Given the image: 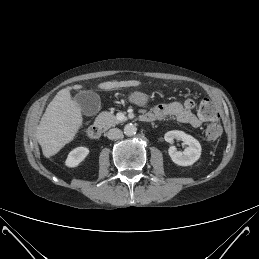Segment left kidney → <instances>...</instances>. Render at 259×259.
Masks as SVG:
<instances>
[{"label": "left kidney", "mask_w": 259, "mask_h": 259, "mask_svg": "<svg viewBox=\"0 0 259 259\" xmlns=\"http://www.w3.org/2000/svg\"><path fill=\"white\" fill-rule=\"evenodd\" d=\"M164 139L166 142L173 144L174 139L183 141L188 145L183 152L177 151L175 146H171L168 150L171 160L180 166H190L194 164L201 156V145L197 139L183 131H168Z\"/></svg>", "instance_id": "5707ae66"}]
</instances>
